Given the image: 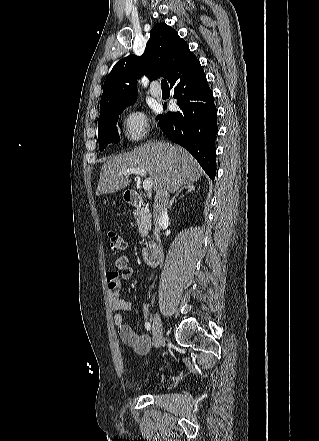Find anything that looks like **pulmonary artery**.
Masks as SVG:
<instances>
[{
    "mask_svg": "<svg viewBox=\"0 0 319 441\" xmlns=\"http://www.w3.org/2000/svg\"><path fill=\"white\" fill-rule=\"evenodd\" d=\"M150 93H151L152 96H154V97H160V96L162 95V91H161V89H159V88H157V87H155V86H152V87L150 88Z\"/></svg>",
    "mask_w": 319,
    "mask_h": 441,
    "instance_id": "pulmonary-artery-1",
    "label": "pulmonary artery"
}]
</instances>
